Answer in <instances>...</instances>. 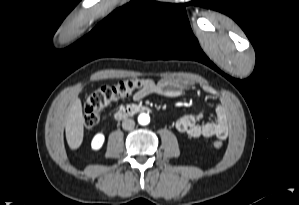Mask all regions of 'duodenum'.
<instances>
[{
  "label": "duodenum",
  "instance_id": "410a0bca",
  "mask_svg": "<svg viewBox=\"0 0 299 205\" xmlns=\"http://www.w3.org/2000/svg\"><path fill=\"white\" fill-rule=\"evenodd\" d=\"M149 111H150V108L145 105L127 104V105H124V106L120 107L119 109H117L114 113V117L117 120H123V119H126L130 116L137 114V113H144V112H149Z\"/></svg>",
  "mask_w": 299,
  "mask_h": 205
}]
</instances>
